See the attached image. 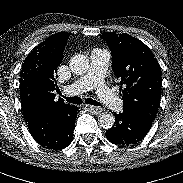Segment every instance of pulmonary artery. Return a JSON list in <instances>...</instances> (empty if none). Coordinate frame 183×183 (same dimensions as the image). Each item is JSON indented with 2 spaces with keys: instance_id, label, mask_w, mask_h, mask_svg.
I'll use <instances>...</instances> for the list:
<instances>
[{
  "instance_id": "pulmonary-artery-1",
  "label": "pulmonary artery",
  "mask_w": 183,
  "mask_h": 183,
  "mask_svg": "<svg viewBox=\"0 0 183 183\" xmlns=\"http://www.w3.org/2000/svg\"><path fill=\"white\" fill-rule=\"evenodd\" d=\"M110 61V54L105 50L95 49L91 54L90 68L86 74L76 79L65 88V93L75 95L94 89L108 108L118 111L123 101L117 97L105 84L104 74Z\"/></svg>"
}]
</instances>
